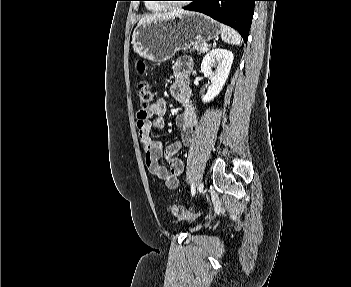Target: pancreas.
<instances>
[{"label":"pancreas","instance_id":"1","mask_svg":"<svg viewBox=\"0 0 351 287\" xmlns=\"http://www.w3.org/2000/svg\"><path fill=\"white\" fill-rule=\"evenodd\" d=\"M204 45H205L204 42H192L186 49H189L190 52L191 51H198L201 53L202 51H204L203 50Z\"/></svg>","mask_w":351,"mask_h":287}]
</instances>
